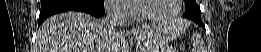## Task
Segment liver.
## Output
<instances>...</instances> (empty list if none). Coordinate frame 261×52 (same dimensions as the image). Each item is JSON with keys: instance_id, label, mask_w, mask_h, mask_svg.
I'll return each instance as SVG.
<instances>
[{"instance_id": "liver-1", "label": "liver", "mask_w": 261, "mask_h": 52, "mask_svg": "<svg viewBox=\"0 0 261 52\" xmlns=\"http://www.w3.org/2000/svg\"><path fill=\"white\" fill-rule=\"evenodd\" d=\"M130 34L140 41L150 35L146 27ZM123 33L109 31L104 20L78 12H67L45 20L38 33L35 52H126Z\"/></svg>"}]
</instances>
